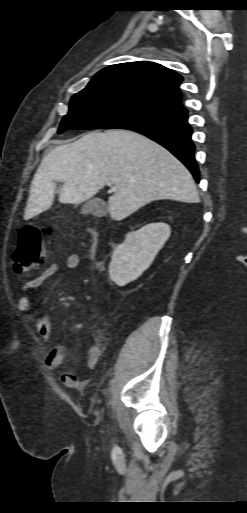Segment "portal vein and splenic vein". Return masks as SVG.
<instances>
[{"mask_svg": "<svg viewBox=\"0 0 247 513\" xmlns=\"http://www.w3.org/2000/svg\"><path fill=\"white\" fill-rule=\"evenodd\" d=\"M108 186H110V187H111V190H112V191H116V187H115V186H113V184H112V183H108Z\"/></svg>", "mask_w": 247, "mask_h": 513, "instance_id": "portal-vein-and-splenic-vein-1", "label": "portal vein and splenic vein"}]
</instances>
